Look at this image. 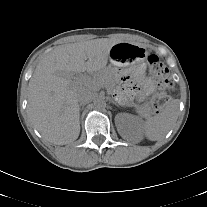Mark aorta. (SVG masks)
<instances>
[{
  "label": "aorta",
  "mask_w": 207,
  "mask_h": 207,
  "mask_svg": "<svg viewBox=\"0 0 207 207\" xmlns=\"http://www.w3.org/2000/svg\"><path fill=\"white\" fill-rule=\"evenodd\" d=\"M94 104L98 109H104L106 107V101L103 98H98Z\"/></svg>",
  "instance_id": "aorta-1"
}]
</instances>
